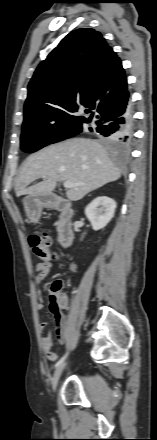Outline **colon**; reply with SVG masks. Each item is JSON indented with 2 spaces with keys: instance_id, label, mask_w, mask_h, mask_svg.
Returning a JSON list of instances; mask_svg holds the SVG:
<instances>
[{
  "instance_id": "colon-1",
  "label": "colon",
  "mask_w": 157,
  "mask_h": 440,
  "mask_svg": "<svg viewBox=\"0 0 157 440\" xmlns=\"http://www.w3.org/2000/svg\"><path fill=\"white\" fill-rule=\"evenodd\" d=\"M29 244L34 253L43 260L48 262L52 254L49 250L50 239L44 232H34L29 237ZM63 284L57 279L49 283L46 287L50 308L58 309L66 305V298L62 295Z\"/></svg>"
}]
</instances>
